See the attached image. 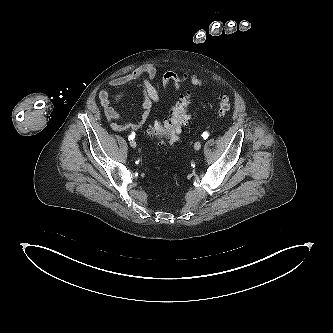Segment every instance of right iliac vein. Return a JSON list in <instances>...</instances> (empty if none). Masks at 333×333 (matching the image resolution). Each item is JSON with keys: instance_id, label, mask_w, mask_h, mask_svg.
Segmentation results:
<instances>
[{"instance_id": "right-iliac-vein-1", "label": "right iliac vein", "mask_w": 333, "mask_h": 333, "mask_svg": "<svg viewBox=\"0 0 333 333\" xmlns=\"http://www.w3.org/2000/svg\"><path fill=\"white\" fill-rule=\"evenodd\" d=\"M130 146L132 148H136L137 144H136V142L134 140H130Z\"/></svg>"}]
</instances>
